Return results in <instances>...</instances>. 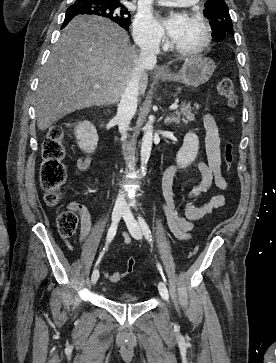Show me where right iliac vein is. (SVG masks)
Instances as JSON below:
<instances>
[{"mask_svg": "<svg viewBox=\"0 0 276 363\" xmlns=\"http://www.w3.org/2000/svg\"><path fill=\"white\" fill-rule=\"evenodd\" d=\"M122 213H123V206H119V205L115 206L113 213H112V224H118ZM98 278H99V271H98V269H95L91 276V283L93 285H95L96 282L98 281Z\"/></svg>", "mask_w": 276, "mask_h": 363, "instance_id": "obj_1", "label": "right iliac vein"}]
</instances>
